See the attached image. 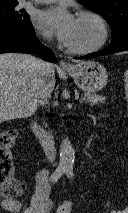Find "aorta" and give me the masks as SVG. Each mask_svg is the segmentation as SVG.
<instances>
[{"label": "aorta", "mask_w": 128, "mask_h": 213, "mask_svg": "<svg viewBox=\"0 0 128 213\" xmlns=\"http://www.w3.org/2000/svg\"><path fill=\"white\" fill-rule=\"evenodd\" d=\"M75 160V152L69 138H64L60 145V162L61 168H71Z\"/></svg>", "instance_id": "aorta-1"}]
</instances>
